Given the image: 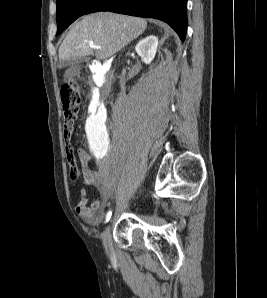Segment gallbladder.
Here are the masks:
<instances>
[{"instance_id":"gallbladder-1","label":"gallbladder","mask_w":267,"mask_h":298,"mask_svg":"<svg viewBox=\"0 0 267 298\" xmlns=\"http://www.w3.org/2000/svg\"><path fill=\"white\" fill-rule=\"evenodd\" d=\"M79 60H81V58H79L77 60H68V59L67 60H62V61H60L59 66L60 67L72 66V65L78 63Z\"/></svg>"}]
</instances>
